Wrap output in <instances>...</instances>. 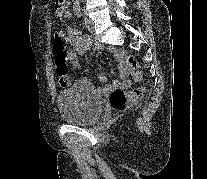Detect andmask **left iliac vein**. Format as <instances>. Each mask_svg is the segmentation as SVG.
<instances>
[{"label":"left iliac vein","instance_id":"1","mask_svg":"<svg viewBox=\"0 0 207 179\" xmlns=\"http://www.w3.org/2000/svg\"><path fill=\"white\" fill-rule=\"evenodd\" d=\"M85 25H86V28L89 30V31H93V22L87 17V15L85 14Z\"/></svg>","mask_w":207,"mask_h":179}]
</instances>
